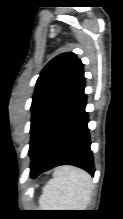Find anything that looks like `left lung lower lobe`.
<instances>
[{
  "label": "left lung lower lobe",
  "mask_w": 123,
  "mask_h": 219,
  "mask_svg": "<svg viewBox=\"0 0 123 219\" xmlns=\"http://www.w3.org/2000/svg\"><path fill=\"white\" fill-rule=\"evenodd\" d=\"M85 80L54 111L42 128L31 154L32 178L59 165H73L94 175Z\"/></svg>",
  "instance_id": "obj_1"
}]
</instances>
